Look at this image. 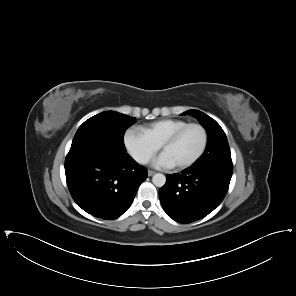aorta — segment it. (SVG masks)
<instances>
[{"instance_id":"762f6f07","label":"aorta","mask_w":296,"mask_h":296,"mask_svg":"<svg viewBox=\"0 0 296 296\" xmlns=\"http://www.w3.org/2000/svg\"><path fill=\"white\" fill-rule=\"evenodd\" d=\"M152 182L157 187H163L166 182V177H165V175H163L161 173H156L152 177Z\"/></svg>"}]
</instances>
